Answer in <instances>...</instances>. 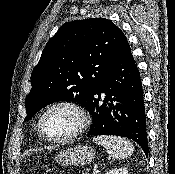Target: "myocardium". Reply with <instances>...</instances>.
Returning <instances> with one entry per match:
<instances>
[{
    "instance_id": "1",
    "label": "myocardium",
    "mask_w": 175,
    "mask_h": 174,
    "mask_svg": "<svg viewBox=\"0 0 175 174\" xmlns=\"http://www.w3.org/2000/svg\"><path fill=\"white\" fill-rule=\"evenodd\" d=\"M56 108L70 109L71 111H73L76 114V116L78 118V125L75 128V130L72 131L70 134H68L64 137H61V138L49 137L45 133L44 128H43V122H44L46 115L50 111H52ZM88 122H89V120H88L87 112L82 105H80L79 103H77L75 101L63 100V101L55 102L45 109V111L41 114L39 122H38V131H39L40 136L48 142L65 143V142H68L70 140H73L74 138H76L77 136L82 134L85 131V129L87 128Z\"/></svg>"
}]
</instances>
